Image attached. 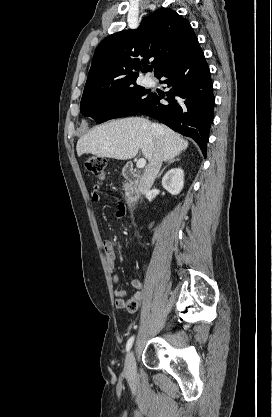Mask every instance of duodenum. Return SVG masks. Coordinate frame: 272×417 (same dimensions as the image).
<instances>
[{
	"instance_id": "1",
	"label": "duodenum",
	"mask_w": 272,
	"mask_h": 417,
	"mask_svg": "<svg viewBox=\"0 0 272 417\" xmlns=\"http://www.w3.org/2000/svg\"><path fill=\"white\" fill-rule=\"evenodd\" d=\"M123 175L128 181L126 189V204L131 207L140 195L141 175L131 163L123 166Z\"/></svg>"
}]
</instances>
